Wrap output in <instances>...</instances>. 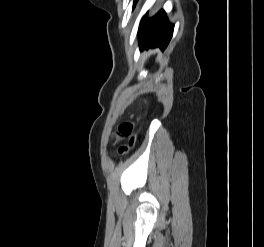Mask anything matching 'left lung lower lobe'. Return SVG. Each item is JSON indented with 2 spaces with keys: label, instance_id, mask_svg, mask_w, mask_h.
Returning <instances> with one entry per match:
<instances>
[{
  "label": "left lung lower lobe",
  "instance_id": "1",
  "mask_svg": "<svg viewBox=\"0 0 264 247\" xmlns=\"http://www.w3.org/2000/svg\"><path fill=\"white\" fill-rule=\"evenodd\" d=\"M173 28L174 26L168 23L163 10H160L150 19H147L146 14L139 26L140 48L144 49L154 46L164 50L172 37Z\"/></svg>",
  "mask_w": 264,
  "mask_h": 247
}]
</instances>
